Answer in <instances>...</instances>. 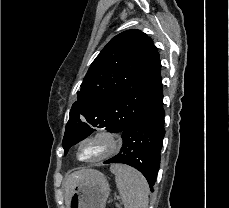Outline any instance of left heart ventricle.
<instances>
[{
    "mask_svg": "<svg viewBox=\"0 0 229 208\" xmlns=\"http://www.w3.org/2000/svg\"><path fill=\"white\" fill-rule=\"evenodd\" d=\"M113 148L114 147H85L83 143L80 148L79 155L84 160H91L110 152Z\"/></svg>",
    "mask_w": 229,
    "mask_h": 208,
    "instance_id": "left-heart-ventricle-1",
    "label": "left heart ventricle"
}]
</instances>
